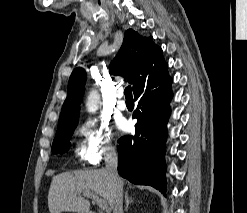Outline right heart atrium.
Masks as SVG:
<instances>
[{
    "mask_svg": "<svg viewBox=\"0 0 247 213\" xmlns=\"http://www.w3.org/2000/svg\"><path fill=\"white\" fill-rule=\"evenodd\" d=\"M79 133L81 140L76 154L80 161L95 166L116 153L113 134L108 125L86 121L80 125Z\"/></svg>",
    "mask_w": 247,
    "mask_h": 213,
    "instance_id": "right-heart-atrium-1",
    "label": "right heart atrium"
}]
</instances>
